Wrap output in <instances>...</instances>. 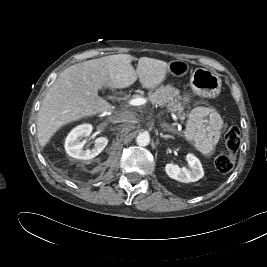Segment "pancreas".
<instances>
[{
    "instance_id": "pancreas-1",
    "label": "pancreas",
    "mask_w": 267,
    "mask_h": 267,
    "mask_svg": "<svg viewBox=\"0 0 267 267\" xmlns=\"http://www.w3.org/2000/svg\"><path fill=\"white\" fill-rule=\"evenodd\" d=\"M179 91L172 88L171 86H161L150 93V101L153 104H157L161 107H167L172 112L177 113L179 119L184 121L188 114L184 112V106L179 101Z\"/></svg>"
}]
</instances>
